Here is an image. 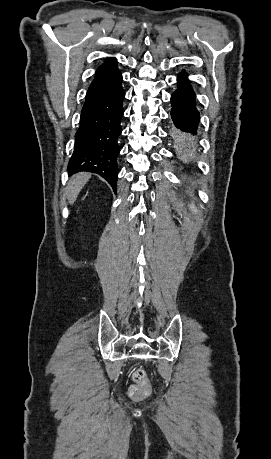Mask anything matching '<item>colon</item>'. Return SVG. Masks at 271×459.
Masks as SVG:
<instances>
[{
	"label": "colon",
	"instance_id": "1",
	"mask_svg": "<svg viewBox=\"0 0 271 459\" xmlns=\"http://www.w3.org/2000/svg\"><path fill=\"white\" fill-rule=\"evenodd\" d=\"M134 385L130 387L129 394L134 399L146 397L151 392V386L145 371L141 368L133 373Z\"/></svg>",
	"mask_w": 271,
	"mask_h": 459
}]
</instances>
